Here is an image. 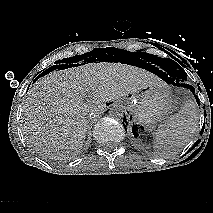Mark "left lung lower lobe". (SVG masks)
<instances>
[{"mask_svg":"<svg viewBox=\"0 0 213 213\" xmlns=\"http://www.w3.org/2000/svg\"><path fill=\"white\" fill-rule=\"evenodd\" d=\"M157 75H158L160 78H162L164 81H166L167 83H169V84H173V85H176V86H182V87H185V88L190 89V91H191L192 93L195 92L194 87H192L191 85H188V84H186V83H184V82L175 81V80L173 79V77L169 76L168 73L163 72L162 70L157 69ZM195 98H196L197 103L199 104V100H198V98H197L196 95H195ZM125 119H126V117H125V115H124V119H123V120L125 121ZM126 123H127V122H126ZM132 130H133V129H132ZM137 130H138V129H137ZM134 131H135V127H134ZM134 136H135V135H134Z\"/></svg>","mask_w":213,"mask_h":213,"instance_id":"0a47b994","label":"left lung lower lobe"}]
</instances>
